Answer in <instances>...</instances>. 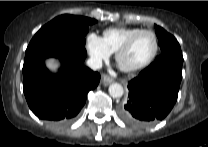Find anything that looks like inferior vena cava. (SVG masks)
<instances>
[{"instance_id":"602c4592","label":"inferior vena cava","mask_w":208,"mask_h":147,"mask_svg":"<svg viewBox=\"0 0 208 147\" xmlns=\"http://www.w3.org/2000/svg\"><path fill=\"white\" fill-rule=\"evenodd\" d=\"M87 65L91 69L97 70L102 67V60L98 57H91L87 60Z\"/></svg>"}]
</instances>
